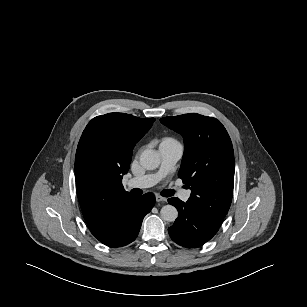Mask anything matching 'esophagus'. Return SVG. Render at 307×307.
<instances>
[{
	"mask_svg": "<svg viewBox=\"0 0 307 307\" xmlns=\"http://www.w3.org/2000/svg\"><path fill=\"white\" fill-rule=\"evenodd\" d=\"M155 198H156L157 202H165V201H167V198H165V197H163V196H161L159 194H157Z\"/></svg>",
	"mask_w": 307,
	"mask_h": 307,
	"instance_id": "obj_1",
	"label": "esophagus"
}]
</instances>
